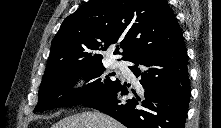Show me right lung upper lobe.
Instances as JSON below:
<instances>
[{"mask_svg":"<svg viewBox=\"0 0 221 128\" xmlns=\"http://www.w3.org/2000/svg\"><path fill=\"white\" fill-rule=\"evenodd\" d=\"M182 40L165 0H89L63 21L46 69L80 60L102 61L103 51L114 44L118 45L114 54L131 61Z\"/></svg>","mask_w":221,"mask_h":128,"instance_id":"obj_1","label":"right lung upper lobe"}]
</instances>
